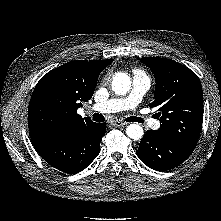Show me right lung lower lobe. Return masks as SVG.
<instances>
[{
    "label": "right lung lower lobe",
    "instance_id": "obj_1",
    "mask_svg": "<svg viewBox=\"0 0 221 221\" xmlns=\"http://www.w3.org/2000/svg\"><path fill=\"white\" fill-rule=\"evenodd\" d=\"M105 132V123L93 122L60 134H30V137L49 165L65 173H77L97 157Z\"/></svg>",
    "mask_w": 221,
    "mask_h": 221
}]
</instances>
